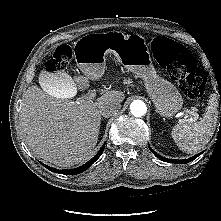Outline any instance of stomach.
Returning a JSON list of instances; mask_svg holds the SVG:
<instances>
[{
  "label": "stomach",
  "mask_w": 221,
  "mask_h": 221,
  "mask_svg": "<svg viewBox=\"0 0 221 221\" xmlns=\"http://www.w3.org/2000/svg\"><path fill=\"white\" fill-rule=\"evenodd\" d=\"M82 40L86 41V46L77 55L76 62L84 74L94 79L101 78L105 71L106 57L112 53L124 68L143 80L160 115L169 118L182 108L183 99L179 91L157 74L146 39L142 35L110 31L88 35Z\"/></svg>",
  "instance_id": "0dacf381"
}]
</instances>
